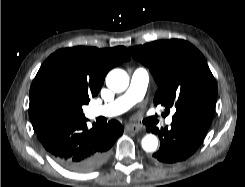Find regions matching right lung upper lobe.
<instances>
[{"instance_id": "obj_1", "label": "right lung upper lobe", "mask_w": 245, "mask_h": 187, "mask_svg": "<svg viewBox=\"0 0 245 187\" xmlns=\"http://www.w3.org/2000/svg\"><path fill=\"white\" fill-rule=\"evenodd\" d=\"M130 56L123 46L109 49L95 47H72L60 49L50 55L42 67L58 66L86 86L94 97L100 91L107 72L128 61ZM32 121V120H31ZM34 131L43 128L46 123L32 121Z\"/></svg>"}]
</instances>
